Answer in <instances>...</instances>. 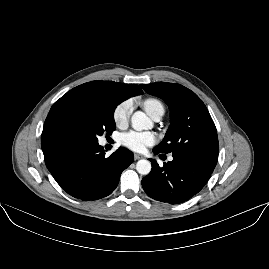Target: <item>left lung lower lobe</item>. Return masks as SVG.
Instances as JSON below:
<instances>
[{"label": "left lung lower lobe", "mask_w": 269, "mask_h": 269, "mask_svg": "<svg viewBox=\"0 0 269 269\" xmlns=\"http://www.w3.org/2000/svg\"><path fill=\"white\" fill-rule=\"evenodd\" d=\"M153 152L161 153L156 147ZM150 161L152 170L142 179L143 189L149 197L170 204H180L197 194L215 168L176 155H173L171 162L164 163L163 167L153 159Z\"/></svg>", "instance_id": "left-lung-lower-lobe-1"}]
</instances>
